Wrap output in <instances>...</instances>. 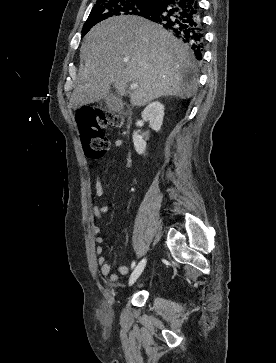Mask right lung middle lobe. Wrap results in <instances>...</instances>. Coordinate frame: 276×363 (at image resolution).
I'll list each match as a JSON object with an SVG mask.
<instances>
[{"mask_svg":"<svg viewBox=\"0 0 276 363\" xmlns=\"http://www.w3.org/2000/svg\"><path fill=\"white\" fill-rule=\"evenodd\" d=\"M156 4L147 0H98L84 23L82 36L97 23L114 16H142L151 11Z\"/></svg>","mask_w":276,"mask_h":363,"instance_id":"right-lung-middle-lobe-1","label":"right lung middle lobe"}]
</instances>
